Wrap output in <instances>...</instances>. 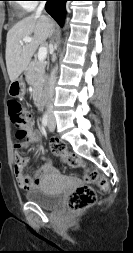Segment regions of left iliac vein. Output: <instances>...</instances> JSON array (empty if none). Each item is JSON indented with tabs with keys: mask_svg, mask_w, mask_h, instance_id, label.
Masks as SVG:
<instances>
[{
	"mask_svg": "<svg viewBox=\"0 0 133 253\" xmlns=\"http://www.w3.org/2000/svg\"><path fill=\"white\" fill-rule=\"evenodd\" d=\"M48 129L50 132H53L55 130V125L54 122L51 120L49 125H48Z\"/></svg>",
	"mask_w": 133,
	"mask_h": 253,
	"instance_id": "obj_1",
	"label": "left iliac vein"
}]
</instances>
